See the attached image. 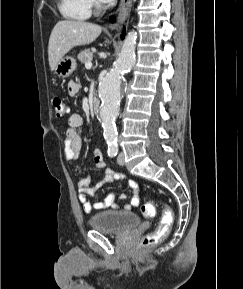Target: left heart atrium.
I'll use <instances>...</instances> for the list:
<instances>
[{
	"label": "left heart atrium",
	"mask_w": 243,
	"mask_h": 289,
	"mask_svg": "<svg viewBox=\"0 0 243 289\" xmlns=\"http://www.w3.org/2000/svg\"><path fill=\"white\" fill-rule=\"evenodd\" d=\"M101 1L104 2V3H109V2H112L114 0H101Z\"/></svg>",
	"instance_id": "obj_1"
}]
</instances>
